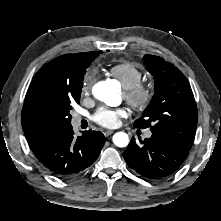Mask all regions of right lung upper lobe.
Masks as SVG:
<instances>
[{
    "label": "right lung upper lobe",
    "instance_id": "cb5924a9",
    "mask_svg": "<svg viewBox=\"0 0 221 221\" xmlns=\"http://www.w3.org/2000/svg\"><path fill=\"white\" fill-rule=\"evenodd\" d=\"M101 51L65 54L44 65L32 79L25 96L21 121L32 151L66 127L45 113L50 98L81 90L87 61Z\"/></svg>",
    "mask_w": 221,
    "mask_h": 221
}]
</instances>
